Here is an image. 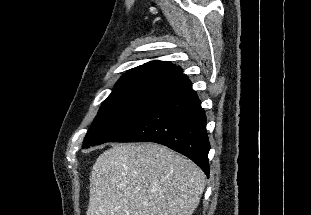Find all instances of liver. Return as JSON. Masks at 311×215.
Returning <instances> with one entry per match:
<instances>
[{"label": "liver", "instance_id": "liver-1", "mask_svg": "<svg viewBox=\"0 0 311 215\" xmlns=\"http://www.w3.org/2000/svg\"><path fill=\"white\" fill-rule=\"evenodd\" d=\"M203 171L156 143L115 144L93 165L87 215H192Z\"/></svg>", "mask_w": 311, "mask_h": 215}]
</instances>
